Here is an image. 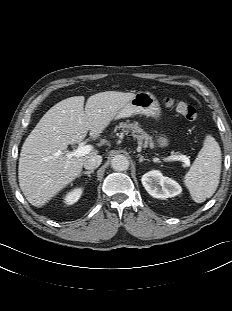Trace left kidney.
Instances as JSON below:
<instances>
[{
  "instance_id": "1",
  "label": "left kidney",
  "mask_w": 232,
  "mask_h": 311,
  "mask_svg": "<svg viewBox=\"0 0 232 311\" xmlns=\"http://www.w3.org/2000/svg\"><path fill=\"white\" fill-rule=\"evenodd\" d=\"M141 181L146 191L154 198L166 199L182 192L181 186L175 180L163 176L158 170L145 173Z\"/></svg>"
}]
</instances>
